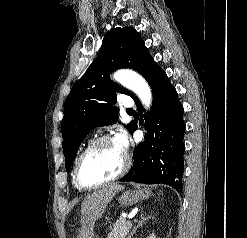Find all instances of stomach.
<instances>
[{
	"mask_svg": "<svg viewBox=\"0 0 247 238\" xmlns=\"http://www.w3.org/2000/svg\"><path fill=\"white\" fill-rule=\"evenodd\" d=\"M151 195L148 188H137L135 190H127L119 197V203L123 206L133 205L142 200L147 199Z\"/></svg>",
	"mask_w": 247,
	"mask_h": 238,
	"instance_id": "1",
	"label": "stomach"
}]
</instances>
